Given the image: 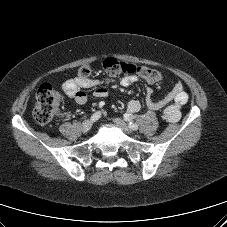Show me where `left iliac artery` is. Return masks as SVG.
Returning <instances> with one entry per match:
<instances>
[{"instance_id": "44dca946", "label": "left iliac artery", "mask_w": 227, "mask_h": 227, "mask_svg": "<svg viewBox=\"0 0 227 227\" xmlns=\"http://www.w3.org/2000/svg\"><path fill=\"white\" fill-rule=\"evenodd\" d=\"M129 127L132 129V130H137L138 129V125L136 123H133V122H130L129 123Z\"/></svg>"}]
</instances>
